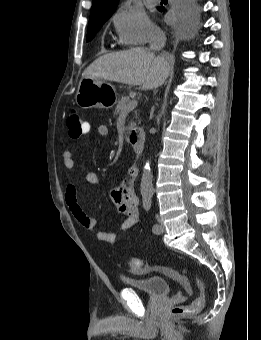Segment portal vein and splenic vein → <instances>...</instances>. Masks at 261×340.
I'll list each match as a JSON object with an SVG mask.
<instances>
[{"instance_id": "portal-vein-and-splenic-vein-1", "label": "portal vein and splenic vein", "mask_w": 261, "mask_h": 340, "mask_svg": "<svg viewBox=\"0 0 261 340\" xmlns=\"http://www.w3.org/2000/svg\"><path fill=\"white\" fill-rule=\"evenodd\" d=\"M137 105H138V100L133 99L132 101L129 102L128 109L133 110Z\"/></svg>"}]
</instances>
